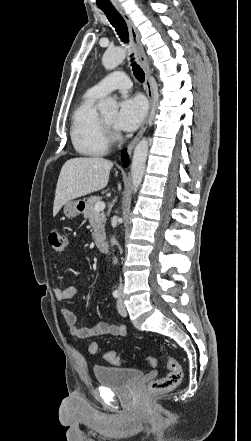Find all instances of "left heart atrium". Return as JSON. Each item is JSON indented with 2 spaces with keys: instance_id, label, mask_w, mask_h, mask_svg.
Wrapping results in <instances>:
<instances>
[{
  "instance_id": "1",
  "label": "left heart atrium",
  "mask_w": 251,
  "mask_h": 441,
  "mask_svg": "<svg viewBox=\"0 0 251 441\" xmlns=\"http://www.w3.org/2000/svg\"><path fill=\"white\" fill-rule=\"evenodd\" d=\"M145 114L146 103L141 96L125 97L120 103L114 126L120 131H133L143 121Z\"/></svg>"
}]
</instances>
